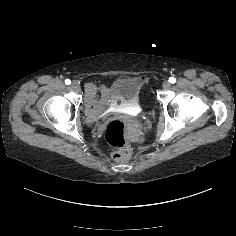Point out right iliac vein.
<instances>
[{
  "mask_svg": "<svg viewBox=\"0 0 236 236\" xmlns=\"http://www.w3.org/2000/svg\"><path fill=\"white\" fill-rule=\"evenodd\" d=\"M71 88H72L74 91H76V92H79L80 89H81V88H80V85L77 84V83H72Z\"/></svg>",
  "mask_w": 236,
  "mask_h": 236,
  "instance_id": "63e3f726",
  "label": "right iliac vein"
}]
</instances>
